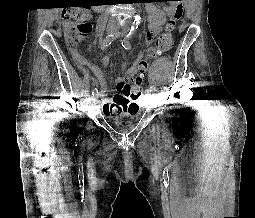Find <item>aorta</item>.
Segmentation results:
<instances>
[{"label":"aorta","instance_id":"762f6f07","mask_svg":"<svg viewBox=\"0 0 255 218\" xmlns=\"http://www.w3.org/2000/svg\"><path fill=\"white\" fill-rule=\"evenodd\" d=\"M140 18L138 16L135 17L134 26H137L139 23Z\"/></svg>","mask_w":255,"mask_h":218}]
</instances>
